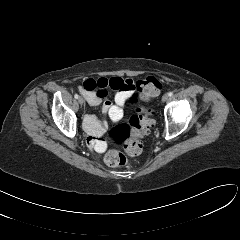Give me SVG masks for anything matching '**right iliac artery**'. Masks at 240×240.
Segmentation results:
<instances>
[{
    "label": "right iliac artery",
    "instance_id": "1",
    "mask_svg": "<svg viewBox=\"0 0 240 240\" xmlns=\"http://www.w3.org/2000/svg\"><path fill=\"white\" fill-rule=\"evenodd\" d=\"M74 97H75V99H78V98H79V95H78V94H75Z\"/></svg>",
    "mask_w": 240,
    "mask_h": 240
}]
</instances>
